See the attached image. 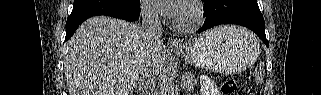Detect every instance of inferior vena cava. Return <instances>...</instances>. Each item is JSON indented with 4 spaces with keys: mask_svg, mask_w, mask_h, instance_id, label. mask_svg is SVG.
<instances>
[{
    "mask_svg": "<svg viewBox=\"0 0 321 95\" xmlns=\"http://www.w3.org/2000/svg\"><path fill=\"white\" fill-rule=\"evenodd\" d=\"M142 32L145 40L153 46L163 44L162 26L157 11L151 6L141 7ZM155 74L150 69H145L140 75L138 84L140 91L146 95H154L155 92Z\"/></svg>",
    "mask_w": 321,
    "mask_h": 95,
    "instance_id": "1",
    "label": "inferior vena cava"
}]
</instances>
